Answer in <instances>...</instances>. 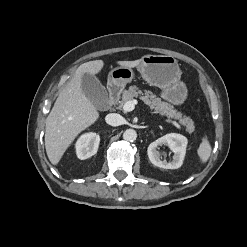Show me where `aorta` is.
Instances as JSON below:
<instances>
[{"instance_id":"aorta-1","label":"aorta","mask_w":247,"mask_h":247,"mask_svg":"<svg viewBox=\"0 0 247 247\" xmlns=\"http://www.w3.org/2000/svg\"><path fill=\"white\" fill-rule=\"evenodd\" d=\"M137 138V133L133 129H127L123 133V139L125 141L133 142Z\"/></svg>"}]
</instances>
